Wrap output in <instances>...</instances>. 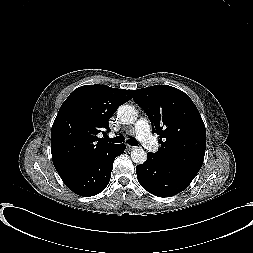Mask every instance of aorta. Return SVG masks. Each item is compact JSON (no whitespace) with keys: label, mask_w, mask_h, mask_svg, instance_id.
I'll return each mask as SVG.
<instances>
[{"label":"aorta","mask_w":253,"mask_h":253,"mask_svg":"<svg viewBox=\"0 0 253 253\" xmlns=\"http://www.w3.org/2000/svg\"><path fill=\"white\" fill-rule=\"evenodd\" d=\"M137 111L131 105H121L117 110V117L123 124H131L137 119ZM131 159L136 164H143L147 159V153L141 148H135L131 152Z\"/></svg>","instance_id":"obj_1"}]
</instances>
